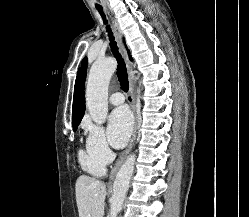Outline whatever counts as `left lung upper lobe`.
<instances>
[{"label":"left lung upper lobe","mask_w":249,"mask_h":217,"mask_svg":"<svg viewBox=\"0 0 249 217\" xmlns=\"http://www.w3.org/2000/svg\"><path fill=\"white\" fill-rule=\"evenodd\" d=\"M86 69H87V58H84L81 64V70L84 76H86Z\"/></svg>","instance_id":"left-lung-upper-lobe-1"}]
</instances>
